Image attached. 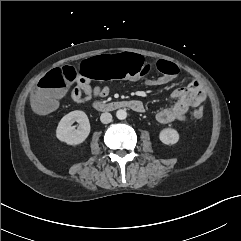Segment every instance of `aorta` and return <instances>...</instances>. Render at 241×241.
Returning <instances> with one entry per match:
<instances>
[{"mask_svg":"<svg viewBox=\"0 0 241 241\" xmlns=\"http://www.w3.org/2000/svg\"><path fill=\"white\" fill-rule=\"evenodd\" d=\"M116 117L119 119V120H124L126 119L127 117V112L125 109H119L117 112H116Z\"/></svg>","mask_w":241,"mask_h":241,"instance_id":"obj_1","label":"aorta"}]
</instances>
